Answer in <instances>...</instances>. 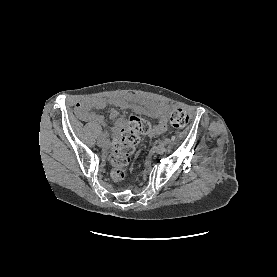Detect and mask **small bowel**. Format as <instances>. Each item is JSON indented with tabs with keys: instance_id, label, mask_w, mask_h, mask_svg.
Returning <instances> with one entry per match:
<instances>
[{
	"instance_id": "c3829d8e",
	"label": "small bowel",
	"mask_w": 277,
	"mask_h": 277,
	"mask_svg": "<svg viewBox=\"0 0 277 277\" xmlns=\"http://www.w3.org/2000/svg\"><path fill=\"white\" fill-rule=\"evenodd\" d=\"M108 104H112L122 109H130L136 113L147 114L148 116L157 119L156 124L150 131V136H158L166 130V117L169 107L164 103H158L152 100H146L136 95L124 94L114 96L110 99L106 98H87L76 104L75 111L77 116L86 122H93L101 126H107V122L100 115L90 111L91 108H104ZM146 108H145V107ZM119 113L115 108H112L109 113V118L114 122L113 132L117 134L125 125V120L118 117Z\"/></svg>"
}]
</instances>
